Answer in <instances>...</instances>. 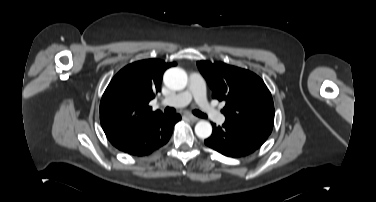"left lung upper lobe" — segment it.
Listing matches in <instances>:
<instances>
[{
	"instance_id": "1",
	"label": "left lung upper lobe",
	"mask_w": 376,
	"mask_h": 202,
	"mask_svg": "<svg viewBox=\"0 0 376 202\" xmlns=\"http://www.w3.org/2000/svg\"><path fill=\"white\" fill-rule=\"evenodd\" d=\"M197 66L212 89L213 98L225 102L222 112L226 121L271 134L274 104L260 77L221 62L199 61Z\"/></svg>"
}]
</instances>
